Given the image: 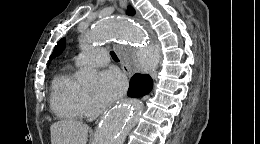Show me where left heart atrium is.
I'll use <instances>...</instances> for the list:
<instances>
[{
  "mask_svg": "<svg viewBox=\"0 0 260 144\" xmlns=\"http://www.w3.org/2000/svg\"><path fill=\"white\" fill-rule=\"evenodd\" d=\"M125 89L124 75L119 70L110 68L99 74L94 96L99 104L106 105L121 97Z\"/></svg>",
  "mask_w": 260,
  "mask_h": 144,
  "instance_id": "1",
  "label": "left heart atrium"
}]
</instances>
